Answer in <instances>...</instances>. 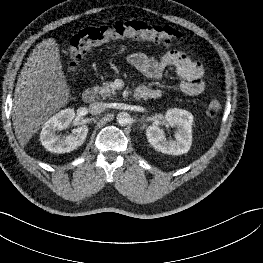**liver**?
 Masks as SVG:
<instances>
[{
  "instance_id": "6515ba94",
  "label": "liver",
  "mask_w": 263,
  "mask_h": 263,
  "mask_svg": "<svg viewBox=\"0 0 263 263\" xmlns=\"http://www.w3.org/2000/svg\"><path fill=\"white\" fill-rule=\"evenodd\" d=\"M69 94L58 43L45 39L31 52L16 83L12 119L21 146L68 103Z\"/></svg>"
}]
</instances>
